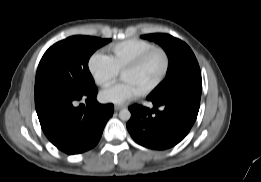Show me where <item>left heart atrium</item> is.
Segmentation results:
<instances>
[{
    "label": "left heart atrium",
    "mask_w": 261,
    "mask_h": 182,
    "mask_svg": "<svg viewBox=\"0 0 261 182\" xmlns=\"http://www.w3.org/2000/svg\"><path fill=\"white\" fill-rule=\"evenodd\" d=\"M139 88L131 81H122L100 93V100L107 103L122 105L136 98L142 93Z\"/></svg>",
    "instance_id": "1"
}]
</instances>
